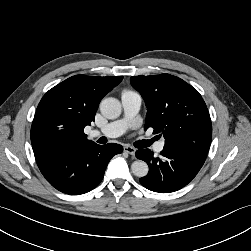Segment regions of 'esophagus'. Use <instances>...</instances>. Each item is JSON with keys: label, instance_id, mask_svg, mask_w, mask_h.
<instances>
[{"label": "esophagus", "instance_id": "34e87169", "mask_svg": "<svg viewBox=\"0 0 251 251\" xmlns=\"http://www.w3.org/2000/svg\"><path fill=\"white\" fill-rule=\"evenodd\" d=\"M124 152L134 156L135 155V152H136V149L130 145H125L124 146Z\"/></svg>", "mask_w": 251, "mask_h": 251}]
</instances>
